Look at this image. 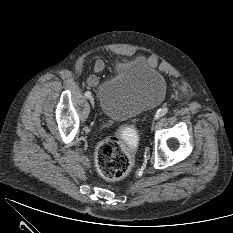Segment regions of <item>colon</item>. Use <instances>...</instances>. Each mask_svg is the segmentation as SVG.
Listing matches in <instances>:
<instances>
[{
  "label": "colon",
  "mask_w": 233,
  "mask_h": 233,
  "mask_svg": "<svg viewBox=\"0 0 233 233\" xmlns=\"http://www.w3.org/2000/svg\"><path fill=\"white\" fill-rule=\"evenodd\" d=\"M136 145L137 132L132 125H125L116 135L103 139L95 153L100 176L107 181L125 178L132 169Z\"/></svg>",
  "instance_id": "1"
}]
</instances>
